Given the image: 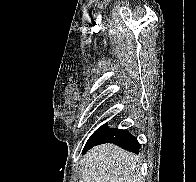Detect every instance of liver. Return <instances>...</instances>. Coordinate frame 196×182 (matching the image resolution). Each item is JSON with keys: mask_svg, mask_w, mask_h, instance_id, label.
Wrapping results in <instances>:
<instances>
[{"mask_svg": "<svg viewBox=\"0 0 196 182\" xmlns=\"http://www.w3.org/2000/svg\"><path fill=\"white\" fill-rule=\"evenodd\" d=\"M82 166L84 182H142L138 156L113 144L92 148Z\"/></svg>", "mask_w": 196, "mask_h": 182, "instance_id": "liver-1", "label": "liver"}]
</instances>
